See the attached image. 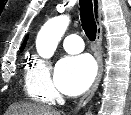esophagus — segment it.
<instances>
[{"instance_id": "34e87169", "label": "esophagus", "mask_w": 131, "mask_h": 115, "mask_svg": "<svg viewBox=\"0 0 131 115\" xmlns=\"http://www.w3.org/2000/svg\"><path fill=\"white\" fill-rule=\"evenodd\" d=\"M92 3H93L94 19L97 25L95 57L98 63V73L90 89L77 103L76 110H79L80 108L84 107L90 101V99L93 97L94 93L96 92L99 86V83L101 81L102 74H103V60H102V54H101L102 33H103L102 19H101L102 17L101 1L92 0Z\"/></svg>"}]
</instances>
